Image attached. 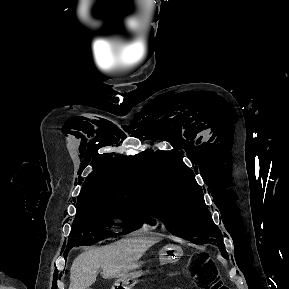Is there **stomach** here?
Segmentation results:
<instances>
[{"mask_svg":"<svg viewBox=\"0 0 289 289\" xmlns=\"http://www.w3.org/2000/svg\"><path fill=\"white\" fill-rule=\"evenodd\" d=\"M183 254L180 246L169 244L164 246L159 252V260L162 263H174L177 262ZM141 263L138 262L136 268L127 272L124 276L119 277L113 289H132L136 282V279L141 275V271L138 270V266Z\"/></svg>","mask_w":289,"mask_h":289,"instance_id":"0dacf381","label":"stomach"}]
</instances>
